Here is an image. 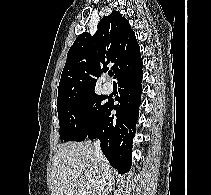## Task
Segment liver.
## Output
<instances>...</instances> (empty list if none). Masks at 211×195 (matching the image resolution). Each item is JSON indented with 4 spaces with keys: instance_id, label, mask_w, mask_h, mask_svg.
<instances>
[{
    "instance_id": "obj_1",
    "label": "liver",
    "mask_w": 211,
    "mask_h": 195,
    "mask_svg": "<svg viewBox=\"0 0 211 195\" xmlns=\"http://www.w3.org/2000/svg\"><path fill=\"white\" fill-rule=\"evenodd\" d=\"M105 170L98 162L95 147L90 142L61 144L54 155L51 173V195H96V181L103 171L109 183H114L113 170L105 159Z\"/></svg>"
}]
</instances>
